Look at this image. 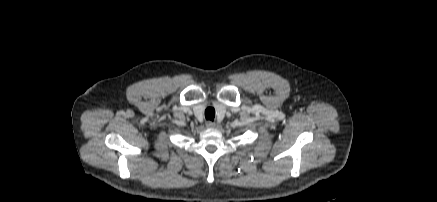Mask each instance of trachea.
<instances>
[{
	"instance_id": "trachea-1",
	"label": "trachea",
	"mask_w": 437,
	"mask_h": 202,
	"mask_svg": "<svg viewBox=\"0 0 437 202\" xmlns=\"http://www.w3.org/2000/svg\"><path fill=\"white\" fill-rule=\"evenodd\" d=\"M206 119L213 120L215 116V110L213 108H208L205 111Z\"/></svg>"
}]
</instances>
